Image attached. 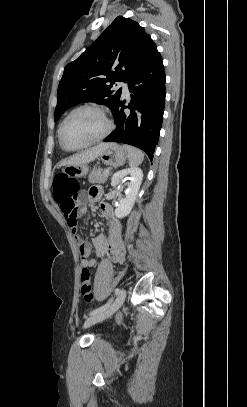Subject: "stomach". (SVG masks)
Listing matches in <instances>:
<instances>
[{
	"mask_svg": "<svg viewBox=\"0 0 247 407\" xmlns=\"http://www.w3.org/2000/svg\"><path fill=\"white\" fill-rule=\"evenodd\" d=\"M99 158L107 166L118 167L129 159V154L123 146L112 143L99 155ZM88 170L87 163H83L66 166L63 172L68 176L82 177L88 173Z\"/></svg>",
	"mask_w": 247,
	"mask_h": 407,
	"instance_id": "1",
	"label": "stomach"
}]
</instances>
